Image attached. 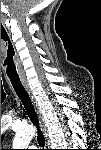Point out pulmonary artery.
Masks as SVG:
<instances>
[{
  "label": "pulmonary artery",
  "mask_w": 101,
  "mask_h": 150,
  "mask_svg": "<svg viewBox=\"0 0 101 150\" xmlns=\"http://www.w3.org/2000/svg\"><path fill=\"white\" fill-rule=\"evenodd\" d=\"M30 148H32V149H33V148H34V146H30Z\"/></svg>",
  "instance_id": "pulmonary-artery-1"
}]
</instances>
